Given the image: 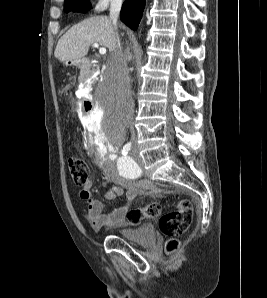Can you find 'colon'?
Wrapping results in <instances>:
<instances>
[{
    "mask_svg": "<svg viewBox=\"0 0 267 298\" xmlns=\"http://www.w3.org/2000/svg\"><path fill=\"white\" fill-rule=\"evenodd\" d=\"M68 167L74 183L84 186L89 181V167L86 162L78 157L68 159ZM159 219L160 231L168 237L165 249L168 253L178 250L180 241L178 237L184 234L192 222V205L187 199H180L173 203V208L162 212V206L158 202H152L141 208H133L126 214L129 225H139L145 219Z\"/></svg>",
    "mask_w": 267,
    "mask_h": 298,
    "instance_id": "1",
    "label": "colon"
}]
</instances>
